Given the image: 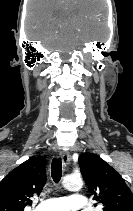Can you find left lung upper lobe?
<instances>
[{"label": "left lung upper lobe", "instance_id": "1", "mask_svg": "<svg viewBox=\"0 0 133 211\" xmlns=\"http://www.w3.org/2000/svg\"><path fill=\"white\" fill-rule=\"evenodd\" d=\"M81 174L103 211H133V193L120 174L97 154L79 156Z\"/></svg>", "mask_w": 133, "mask_h": 211}]
</instances>
